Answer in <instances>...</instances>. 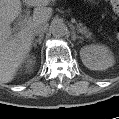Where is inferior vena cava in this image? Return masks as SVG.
Instances as JSON below:
<instances>
[{
    "mask_svg": "<svg viewBox=\"0 0 119 119\" xmlns=\"http://www.w3.org/2000/svg\"><path fill=\"white\" fill-rule=\"evenodd\" d=\"M48 30V24L47 23H41L36 25L33 28V34L34 35H43Z\"/></svg>",
    "mask_w": 119,
    "mask_h": 119,
    "instance_id": "1",
    "label": "inferior vena cava"
}]
</instances>
